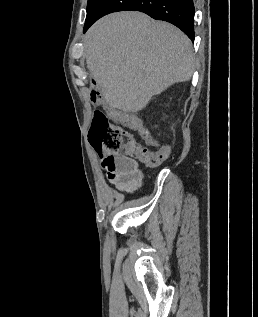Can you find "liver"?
<instances>
[{
  "mask_svg": "<svg viewBox=\"0 0 258 317\" xmlns=\"http://www.w3.org/2000/svg\"><path fill=\"white\" fill-rule=\"evenodd\" d=\"M86 64L109 106L137 112L153 94L190 80L192 42L182 30L143 12H112L84 36Z\"/></svg>",
  "mask_w": 258,
  "mask_h": 317,
  "instance_id": "liver-1",
  "label": "liver"
}]
</instances>
